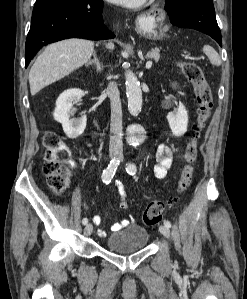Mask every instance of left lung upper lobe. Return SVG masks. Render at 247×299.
I'll return each instance as SVG.
<instances>
[{
    "label": "left lung upper lobe",
    "mask_w": 247,
    "mask_h": 299,
    "mask_svg": "<svg viewBox=\"0 0 247 299\" xmlns=\"http://www.w3.org/2000/svg\"><path fill=\"white\" fill-rule=\"evenodd\" d=\"M178 0H165L166 6H173ZM212 2V0H206Z\"/></svg>",
    "instance_id": "obj_1"
}]
</instances>
